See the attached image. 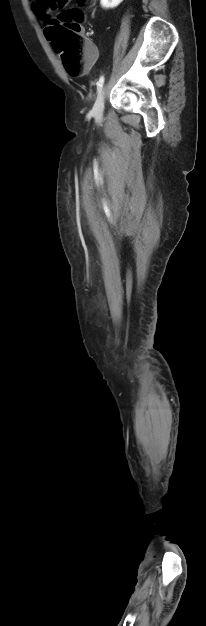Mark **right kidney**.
<instances>
[{
	"label": "right kidney",
	"mask_w": 206,
	"mask_h": 626,
	"mask_svg": "<svg viewBox=\"0 0 206 626\" xmlns=\"http://www.w3.org/2000/svg\"><path fill=\"white\" fill-rule=\"evenodd\" d=\"M123 0H100L103 9H112L117 7Z\"/></svg>",
	"instance_id": "1"
}]
</instances>
